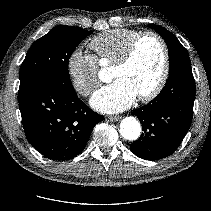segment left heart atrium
I'll use <instances>...</instances> for the list:
<instances>
[{
    "label": "left heart atrium",
    "mask_w": 211,
    "mask_h": 211,
    "mask_svg": "<svg viewBox=\"0 0 211 211\" xmlns=\"http://www.w3.org/2000/svg\"><path fill=\"white\" fill-rule=\"evenodd\" d=\"M136 98V92L126 82L117 79L96 91L91 105L103 113H116L129 108Z\"/></svg>",
    "instance_id": "39dd6f15"
}]
</instances>
